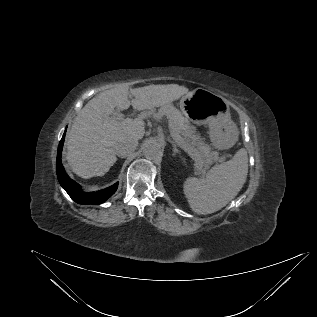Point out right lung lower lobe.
I'll return each instance as SVG.
<instances>
[{
	"mask_svg": "<svg viewBox=\"0 0 317 317\" xmlns=\"http://www.w3.org/2000/svg\"><path fill=\"white\" fill-rule=\"evenodd\" d=\"M65 133L63 134V137L59 143L58 146V152H57V162H56V169H57V177L59 180V183L61 186L66 190V192L69 194V196L77 203L79 204H101L105 202L109 197H111L115 191L117 190L118 183H115L114 185L97 191L93 193H84L80 189L79 185L72 181L67 173L64 170V167L61 163V153L65 138Z\"/></svg>",
	"mask_w": 317,
	"mask_h": 317,
	"instance_id": "98d812e1",
	"label": "right lung lower lobe"
}]
</instances>
